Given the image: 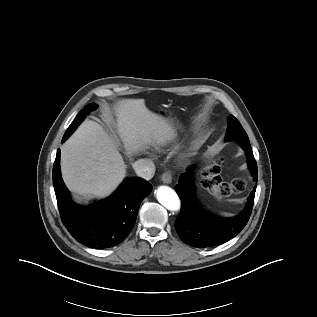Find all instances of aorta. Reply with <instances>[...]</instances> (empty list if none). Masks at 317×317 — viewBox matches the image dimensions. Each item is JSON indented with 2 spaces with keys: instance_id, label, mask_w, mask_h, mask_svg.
<instances>
[{
  "instance_id": "762f6f07",
  "label": "aorta",
  "mask_w": 317,
  "mask_h": 317,
  "mask_svg": "<svg viewBox=\"0 0 317 317\" xmlns=\"http://www.w3.org/2000/svg\"><path fill=\"white\" fill-rule=\"evenodd\" d=\"M156 197L159 203L169 211L180 209V199L177 193L168 186H160L156 190Z\"/></svg>"
}]
</instances>
